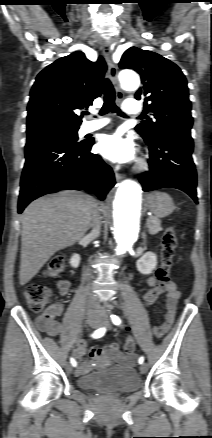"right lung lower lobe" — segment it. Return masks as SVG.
Segmentation results:
<instances>
[{
    "mask_svg": "<svg viewBox=\"0 0 212 438\" xmlns=\"http://www.w3.org/2000/svg\"><path fill=\"white\" fill-rule=\"evenodd\" d=\"M93 140L77 143L58 133L27 138L18 213L34 199L58 190L84 189L101 200L115 185L114 173L90 152Z\"/></svg>",
    "mask_w": 212,
    "mask_h": 438,
    "instance_id": "obj_1",
    "label": "right lung lower lobe"
}]
</instances>
